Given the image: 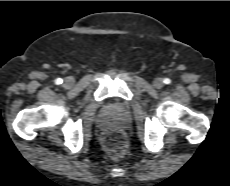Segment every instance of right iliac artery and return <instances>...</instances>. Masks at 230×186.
I'll use <instances>...</instances> for the list:
<instances>
[{"mask_svg": "<svg viewBox=\"0 0 230 186\" xmlns=\"http://www.w3.org/2000/svg\"><path fill=\"white\" fill-rule=\"evenodd\" d=\"M61 83H62V79L59 78L56 80V84H61Z\"/></svg>", "mask_w": 230, "mask_h": 186, "instance_id": "1", "label": "right iliac artery"}]
</instances>
